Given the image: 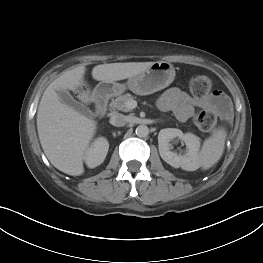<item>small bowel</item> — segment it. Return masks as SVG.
Segmentation results:
<instances>
[{"mask_svg": "<svg viewBox=\"0 0 263 263\" xmlns=\"http://www.w3.org/2000/svg\"><path fill=\"white\" fill-rule=\"evenodd\" d=\"M158 106L161 110L172 111L180 121L188 120L196 108L215 110L222 114L230 111L229 100L221 91L199 98L177 87L166 90L159 98Z\"/></svg>", "mask_w": 263, "mask_h": 263, "instance_id": "obj_1", "label": "small bowel"}]
</instances>
